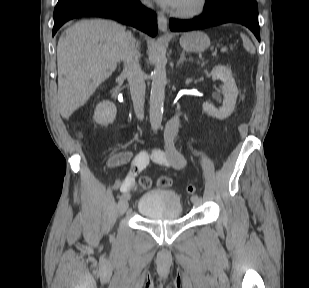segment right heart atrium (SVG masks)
<instances>
[{
    "label": "right heart atrium",
    "mask_w": 309,
    "mask_h": 288,
    "mask_svg": "<svg viewBox=\"0 0 309 288\" xmlns=\"http://www.w3.org/2000/svg\"><path fill=\"white\" fill-rule=\"evenodd\" d=\"M141 2H142L143 4H148V3H149V0H141Z\"/></svg>",
    "instance_id": "d8ad5b80"
}]
</instances>
